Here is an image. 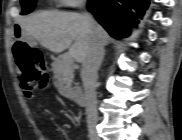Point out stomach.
<instances>
[{"label": "stomach", "instance_id": "0dacf381", "mask_svg": "<svg viewBox=\"0 0 182 140\" xmlns=\"http://www.w3.org/2000/svg\"><path fill=\"white\" fill-rule=\"evenodd\" d=\"M12 30H24V25L21 22H12ZM16 41H27L30 45L35 44L32 36H26V31H15Z\"/></svg>", "mask_w": 182, "mask_h": 140}]
</instances>
